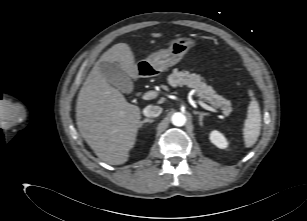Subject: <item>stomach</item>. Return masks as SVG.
Masks as SVG:
<instances>
[{"label":"stomach","mask_w":307,"mask_h":221,"mask_svg":"<svg viewBox=\"0 0 307 221\" xmlns=\"http://www.w3.org/2000/svg\"><path fill=\"white\" fill-rule=\"evenodd\" d=\"M196 45V41L181 37L172 41L168 49L160 50L138 62L137 67L143 75H155L177 64Z\"/></svg>","instance_id":"0dacf381"}]
</instances>
